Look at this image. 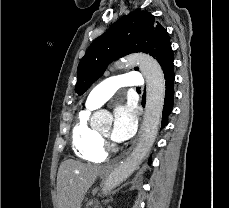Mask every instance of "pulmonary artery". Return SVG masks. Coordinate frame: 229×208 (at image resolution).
<instances>
[{"label":"pulmonary artery","mask_w":229,"mask_h":208,"mask_svg":"<svg viewBox=\"0 0 229 208\" xmlns=\"http://www.w3.org/2000/svg\"><path fill=\"white\" fill-rule=\"evenodd\" d=\"M140 76V72H127L104 79L91 90L86 102L87 106L91 109L101 107L121 87H141L143 79L134 78Z\"/></svg>","instance_id":"e3ab8cb5"}]
</instances>
